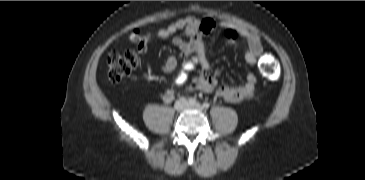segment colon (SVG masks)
I'll return each instance as SVG.
<instances>
[{"instance_id": "1", "label": "colon", "mask_w": 365, "mask_h": 180, "mask_svg": "<svg viewBox=\"0 0 365 180\" xmlns=\"http://www.w3.org/2000/svg\"><path fill=\"white\" fill-rule=\"evenodd\" d=\"M140 30H134L130 34L133 41L139 40ZM139 64V57L134 50L128 49L123 52L113 51L108 57V77L110 81L117 83L128 76ZM263 76L276 81L280 76V68L277 57L272 53H265L259 63Z\"/></svg>"}]
</instances>
